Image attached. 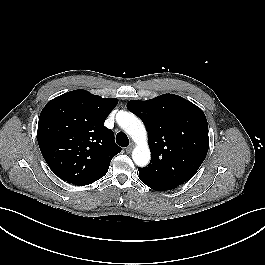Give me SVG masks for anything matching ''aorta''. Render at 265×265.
<instances>
[{"label": "aorta", "instance_id": "aorta-1", "mask_svg": "<svg viewBox=\"0 0 265 265\" xmlns=\"http://www.w3.org/2000/svg\"><path fill=\"white\" fill-rule=\"evenodd\" d=\"M118 123L136 143L132 152L133 161L137 166H146L150 161V149L143 122L132 113H123Z\"/></svg>", "mask_w": 265, "mask_h": 265}]
</instances>
